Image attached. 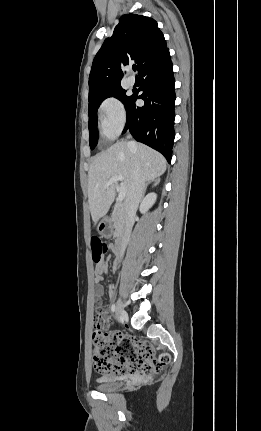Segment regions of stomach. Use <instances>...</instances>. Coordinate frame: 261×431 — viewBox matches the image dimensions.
Segmentation results:
<instances>
[{
	"label": "stomach",
	"mask_w": 261,
	"mask_h": 431,
	"mask_svg": "<svg viewBox=\"0 0 261 431\" xmlns=\"http://www.w3.org/2000/svg\"><path fill=\"white\" fill-rule=\"evenodd\" d=\"M97 231L104 237H110L113 234V225L111 220L103 219L97 226Z\"/></svg>",
	"instance_id": "1"
}]
</instances>
